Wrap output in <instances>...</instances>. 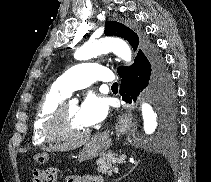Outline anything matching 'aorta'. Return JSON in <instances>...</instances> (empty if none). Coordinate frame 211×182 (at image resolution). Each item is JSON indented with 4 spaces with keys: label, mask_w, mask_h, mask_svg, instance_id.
I'll return each instance as SVG.
<instances>
[{
    "label": "aorta",
    "mask_w": 211,
    "mask_h": 182,
    "mask_svg": "<svg viewBox=\"0 0 211 182\" xmlns=\"http://www.w3.org/2000/svg\"><path fill=\"white\" fill-rule=\"evenodd\" d=\"M108 52H113L126 63H131L132 53L128 44L122 39L111 37L86 42L75 52L74 57L77 60H87ZM141 111L145 133H154L158 126L157 113L148 103H142Z\"/></svg>",
    "instance_id": "1"
}]
</instances>
